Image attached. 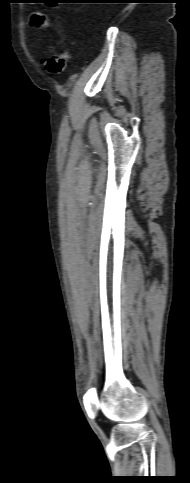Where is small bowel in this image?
I'll use <instances>...</instances> for the list:
<instances>
[{
  "instance_id": "obj_1",
  "label": "small bowel",
  "mask_w": 190,
  "mask_h": 483,
  "mask_svg": "<svg viewBox=\"0 0 190 483\" xmlns=\"http://www.w3.org/2000/svg\"><path fill=\"white\" fill-rule=\"evenodd\" d=\"M31 22L34 26H38V27H41V28H48L49 24L48 22L45 20L44 16L43 15H40V14H34L31 16Z\"/></svg>"
}]
</instances>
